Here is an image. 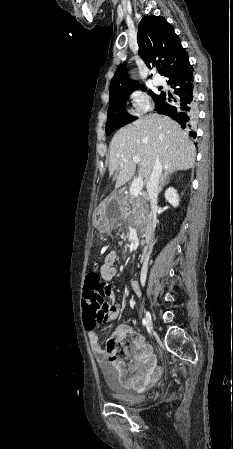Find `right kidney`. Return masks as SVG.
Instances as JSON below:
<instances>
[{
  "mask_svg": "<svg viewBox=\"0 0 233 449\" xmlns=\"http://www.w3.org/2000/svg\"><path fill=\"white\" fill-rule=\"evenodd\" d=\"M165 199L168 201L173 207H177L179 205V196L177 191L173 187H169L165 191Z\"/></svg>",
  "mask_w": 233,
  "mask_h": 449,
  "instance_id": "right-kidney-1",
  "label": "right kidney"
}]
</instances>
